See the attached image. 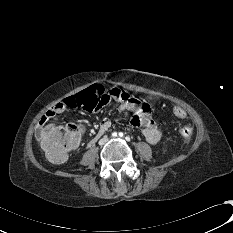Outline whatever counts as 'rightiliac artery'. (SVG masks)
Here are the masks:
<instances>
[{"mask_svg": "<svg viewBox=\"0 0 233 233\" xmlns=\"http://www.w3.org/2000/svg\"><path fill=\"white\" fill-rule=\"evenodd\" d=\"M117 136V133L116 132H113L112 133V137H116Z\"/></svg>", "mask_w": 233, "mask_h": 233, "instance_id": "right-iliac-artery-1", "label": "right iliac artery"}]
</instances>
